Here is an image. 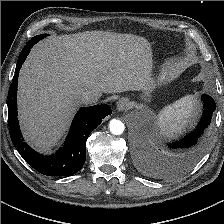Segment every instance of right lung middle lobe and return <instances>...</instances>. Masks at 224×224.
<instances>
[{
  "label": "right lung middle lobe",
  "mask_w": 224,
  "mask_h": 224,
  "mask_svg": "<svg viewBox=\"0 0 224 224\" xmlns=\"http://www.w3.org/2000/svg\"><path fill=\"white\" fill-rule=\"evenodd\" d=\"M47 36V34H41V35H37L35 37H33L31 39L32 42L37 43L39 40L45 38Z\"/></svg>",
  "instance_id": "obj_1"
}]
</instances>
